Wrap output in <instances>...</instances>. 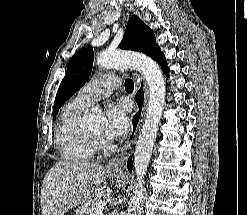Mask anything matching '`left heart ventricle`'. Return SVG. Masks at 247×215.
<instances>
[{"label":"left heart ventricle","instance_id":"obj_1","mask_svg":"<svg viewBox=\"0 0 247 215\" xmlns=\"http://www.w3.org/2000/svg\"><path fill=\"white\" fill-rule=\"evenodd\" d=\"M89 132L94 133V134H101L102 132V125L95 126Z\"/></svg>","mask_w":247,"mask_h":215}]
</instances>
